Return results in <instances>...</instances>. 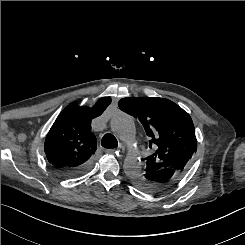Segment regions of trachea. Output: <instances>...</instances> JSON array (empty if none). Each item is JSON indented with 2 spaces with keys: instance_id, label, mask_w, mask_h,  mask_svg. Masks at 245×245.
<instances>
[{
  "instance_id": "3493384b",
  "label": "trachea",
  "mask_w": 245,
  "mask_h": 245,
  "mask_svg": "<svg viewBox=\"0 0 245 245\" xmlns=\"http://www.w3.org/2000/svg\"><path fill=\"white\" fill-rule=\"evenodd\" d=\"M101 144L103 147L109 148V149L116 148L118 146L117 139L115 138L114 135L110 133H107L103 136Z\"/></svg>"
}]
</instances>
